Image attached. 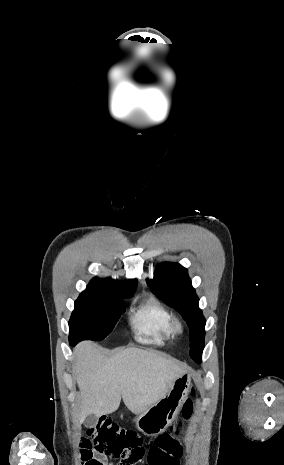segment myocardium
Returning a JSON list of instances; mask_svg holds the SVG:
<instances>
[{
	"label": "myocardium",
	"mask_w": 284,
	"mask_h": 465,
	"mask_svg": "<svg viewBox=\"0 0 284 465\" xmlns=\"http://www.w3.org/2000/svg\"><path fill=\"white\" fill-rule=\"evenodd\" d=\"M185 333V324L181 319L176 318L173 322V334L182 336Z\"/></svg>",
	"instance_id": "f54148a6"
}]
</instances>
